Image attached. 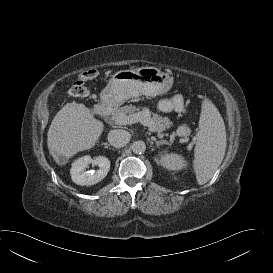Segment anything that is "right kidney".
<instances>
[{
  "label": "right kidney",
  "instance_id": "ca27d5eb",
  "mask_svg": "<svg viewBox=\"0 0 273 273\" xmlns=\"http://www.w3.org/2000/svg\"><path fill=\"white\" fill-rule=\"evenodd\" d=\"M99 167L98 170L86 171L89 164ZM110 170V161L104 156L92 159L89 155L78 158L72 163L70 170L72 181L78 185H94L104 179Z\"/></svg>",
  "mask_w": 273,
  "mask_h": 273
}]
</instances>
